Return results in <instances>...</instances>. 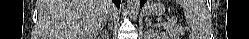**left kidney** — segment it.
I'll return each instance as SVG.
<instances>
[{"mask_svg":"<svg viewBox=\"0 0 249 39\" xmlns=\"http://www.w3.org/2000/svg\"><path fill=\"white\" fill-rule=\"evenodd\" d=\"M154 39H168V36L165 33L155 32Z\"/></svg>","mask_w":249,"mask_h":39,"instance_id":"1","label":"left kidney"}]
</instances>
